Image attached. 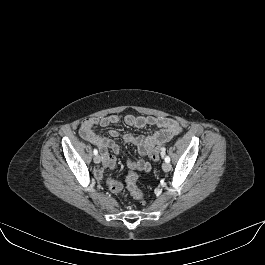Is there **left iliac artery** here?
<instances>
[{"instance_id": "44dca946", "label": "left iliac artery", "mask_w": 265, "mask_h": 265, "mask_svg": "<svg viewBox=\"0 0 265 265\" xmlns=\"http://www.w3.org/2000/svg\"><path fill=\"white\" fill-rule=\"evenodd\" d=\"M165 162H168V163L170 162V157L169 156L165 157Z\"/></svg>"}]
</instances>
